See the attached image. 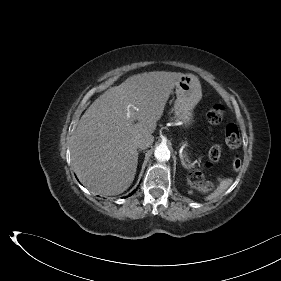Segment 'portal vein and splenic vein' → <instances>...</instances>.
<instances>
[{"mask_svg": "<svg viewBox=\"0 0 281 281\" xmlns=\"http://www.w3.org/2000/svg\"><path fill=\"white\" fill-rule=\"evenodd\" d=\"M126 116H127V118L133 117V114H132V112H131V110H130V106L127 107ZM182 162H183L184 165H186L183 160H182Z\"/></svg>", "mask_w": 281, "mask_h": 281, "instance_id": "portal-vein-and-splenic-vein-1", "label": "portal vein and splenic vein"}]
</instances>
